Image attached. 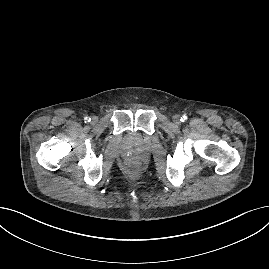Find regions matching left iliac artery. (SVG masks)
Returning a JSON list of instances; mask_svg holds the SVG:
<instances>
[{
    "label": "left iliac artery",
    "instance_id": "1",
    "mask_svg": "<svg viewBox=\"0 0 269 269\" xmlns=\"http://www.w3.org/2000/svg\"><path fill=\"white\" fill-rule=\"evenodd\" d=\"M186 120H187V116H186V115H183V116L181 117V121L184 122V121H186Z\"/></svg>",
    "mask_w": 269,
    "mask_h": 269
}]
</instances>
